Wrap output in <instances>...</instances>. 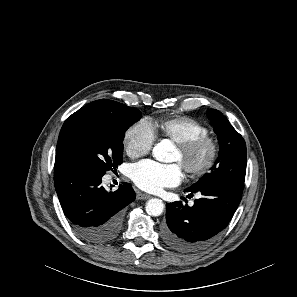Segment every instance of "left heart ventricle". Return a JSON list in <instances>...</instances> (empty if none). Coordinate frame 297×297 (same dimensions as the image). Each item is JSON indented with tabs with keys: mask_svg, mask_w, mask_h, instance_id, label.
<instances>
[{
	"mask_svg": "<svg viewBox=\"0 0 297 297\" xmlns=\"http://www.w3.org/2000/svg\"><path fill=\"white\" fill-rule=\"evenodd\" d=\"M207 155H208V150L203 149V150L199 151L196 155H194L192 157V159L190 160V163L192 165H200L206 160ZM173 161H175V162H180L181 161V154L178 151V149L176 150V152L174 154Z\"/></svg>",
	"mask_w": 297,
	"mask_h": 297,
	"instance_id": "obj_1",
	"label": "left heart ventricle"
}]
</instances>
